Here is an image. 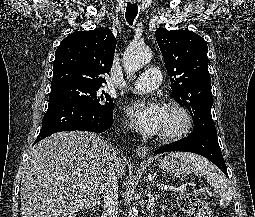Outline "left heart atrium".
Returning <instances> with one entry per match:
<instances>
[{
  "mask_svg": "<svg viewBox=\"0 0 255 217\" xmlns=\"http://www.w3.org/2000/svg\"><path fill=\"white\" fill-rule=\"evenodd\" d=\"M125 111L140 132L148 135L160 132L164 108L158 103L134 102Z\"/></svg>",
  "mask_w": 255,
  "mask_h": 217,
  "instance_id": "obj_1",
  "label": "left heart atrium"
}]
</instances>
